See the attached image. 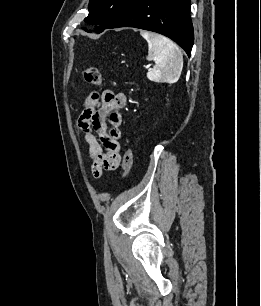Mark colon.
I'll return each mask as SVG.
<instances>
[{
  "mask_svg": "<svg viewBox=\"0 0 261 306\" xmlns=\"http://www.w3.org/2000/svg\"><path fill=\"white\" fill-rule=\"evenodd\" d=\"M82 78L83 80L91 85H94L96 87H100L102 85V77L100 72L93 67H87L84 68L82 71ZM133 165V154L132 151L127 149L123 156L122 161V169L124 176H128V174L131 171Z\"/></svg>",
  "mask_w": 261,
  "mask_h": 306,
  "instance_id": "obj_1",
  "label": "colon"
}]
</instances>
